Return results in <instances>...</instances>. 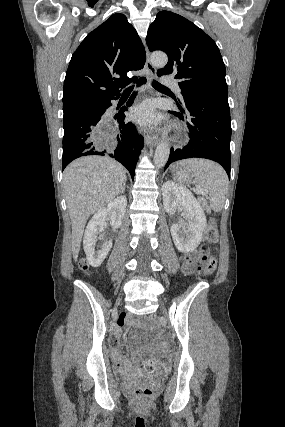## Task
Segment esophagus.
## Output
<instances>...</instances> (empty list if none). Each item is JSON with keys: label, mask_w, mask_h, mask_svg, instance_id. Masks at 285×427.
<instances>
[{"label": "esophagus", "mask_w": 285, "mask_h": 427, "mask_svg": "<svg viewBox=\"0 0 285 427\" xmlns=\"http://www.w3.org/2000/svg\"><path fill=\"white\" fill-rule=\"evenodd\" d=\"M146 52H147V58H146L145 66L149 73V79L151 80L156 77V68L150 62L149 51L147 48H146ZM146 142L149 145L155 146L158 143V137L152 131H149L146 136Z\"/></svg>", "instance_id": "esophagus-1"}]
</instances>
